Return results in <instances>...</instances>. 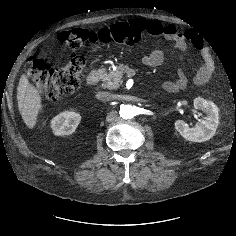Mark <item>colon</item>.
I'll use <instances>...</instances> for the list:
<instances>
[{
	"label": "colon",
	"mask_w": 236,
	"mask_h": 236,
	"mask_svg": "<svg viewBox=\"0 0 236 236\" xmlns=\"http://www.w3.org/2000/svg\"><path fill=\"white\" fill-rule=\"evenodd\" d=\"M145 29L143 20L133 19L97 30L76 28L63 31L58 39L73 50L98 42L131 46L140 41ZM85 65L86 59L80 54L74 55L66 65L58 68L51 67L42 59L31 57L26 71L30 81L39 91L49 99H56L73 93L80 86Z\"/></svg>",
	"instance_id": "obj_1"
}]
</instances>
